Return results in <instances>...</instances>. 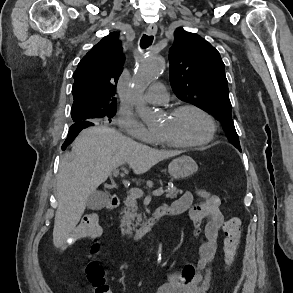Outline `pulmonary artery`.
<instances>
[{
    "label": "pulmonary artery",
    "instance_id": "e3ab8cb5",
    "mask_svg": "<svg viewBox=\"0 0 293 293\" xmlns=\"http://www.w3.org/2000/svg\"><path fill=\"white\" fill-rule=\"evenodd\" d=\"M143 98L151 104L162 105L168 101V93L162 83H155L149 87Z\"/></svg>",
    "mask_w": 293,
    "mask_h": 293
}]
</instances>
